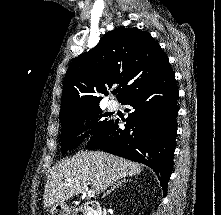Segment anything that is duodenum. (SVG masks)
Segmentation results:
<instances>
[{"instance_id": "duodenum-1", "label": "duodenum", "mask_w": 221, "mask_h": 215, "mask_svg": "<svg viewBox=\"0 0 221 215\" xmlns=\"http://www.w3.org/2000/svg\"><path fill=\"white\" fill-rule=\"evenodd\" d=\"M84 208L91 215H101V207H100L99 203H97V202H94V201L86 202L84 204Z\"/></svg>"}]
</instances>
